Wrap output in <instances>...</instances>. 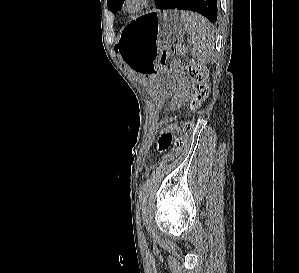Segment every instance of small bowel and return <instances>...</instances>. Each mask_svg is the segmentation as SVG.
<instances>
[{
  "label": "small bowel",
  "mask_w": 299,
  "mask_h": 273,
  "mask_svg": "<svg viewBox=\"0 0 299 273\" xmlns=\"http://www.w3.org/2000/svg\"><path fill=\"white\" fill-rule=\"evenodd\" d=\"M175 130L176 127L174 125H171L161 134L158 143V147L161 151L166 150L171 145Z\"/></svg>",
  "instance_id": "c3829d8e"
}]
</instances>
